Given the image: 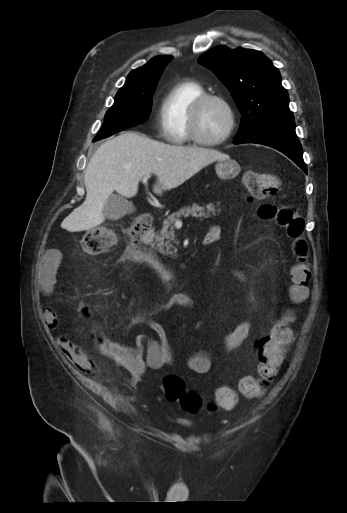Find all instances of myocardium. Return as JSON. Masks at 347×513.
<instances>
[{"mask_svg":"<svg viewBox=\"0 0 347 513\" xmlns=\"http://www.w3.org/2000/svg\"><path fill=\"white\" fill-rule=\"evenodd\" d=\"M216 101L222 104L227 110L229 116V124L226 132L217 139H206L201 136L199 131V121L201 112L206 103ZM236 127V113L229 102L224 96L213 93H204L199 96L191 105L188 113V132L192 142L202 146H218L226 142L233 134Z\"/></svg>","mask_w":347,"mask_h":513,"instance_id":"f54148a6","label":"myocardium"}]
</instances>
